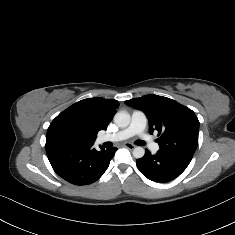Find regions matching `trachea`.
Here are the masks:
<instances>
[{
	"label": "trachea",
	"instance_id": "3493384b",
	"mask_svg": "<svg viewBox=\"0 0 235 235\" xmlns=\"http://www.w3.org/2000/svg\"><path fill=\"white\" fill-rule=\"evenodd\" d=\"M144 144H145L144 141H142V140L139 141V145H140V146H142V145H144Z\"/></svg>",
	"mask_w": 235,
	"mask_h": 235
}]
</instances>
